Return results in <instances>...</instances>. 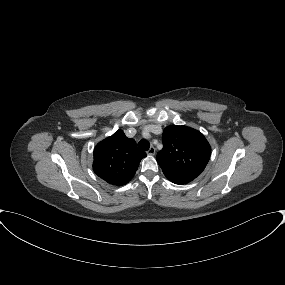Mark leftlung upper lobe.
<instances>
[{
  "label": "left lung upper lobe",
  "instance_id": "1",
  "mask_svg": "<svg viewBox=\"0 0 285 285\" xmlns=\"http://www.w3.org/2000/svg\"><path fill=\"white\" fill-rule=\"evenodd\" d=\"M164 148L157 162L166 177L193 180L205 169L211 147L204 135L186 126H168L163 131Z\"/></svg>",
  "mask_w": 285,
  "mask_h": 285
}]
</instances>
